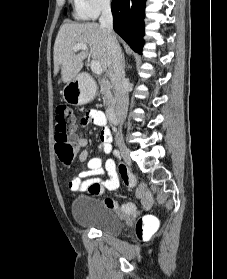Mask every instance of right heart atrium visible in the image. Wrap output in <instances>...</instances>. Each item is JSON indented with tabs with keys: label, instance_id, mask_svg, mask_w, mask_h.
<instances>
[{
	"label": "right heart atrium",
	"instance_id": "1",
	"mask_svg": "<svg viewBox=\"0 0 227 279\" xmlns=\"http://www.w3.org/2000/svg\"><path fill=\"white\" fill-rule=\"evenodd\" d=\"M81 8L89 17L98 16L103 10L107 9L111 0H80Z\"/></svg>",
	"mask_w": 227,
	"mask_h": 279
}]
</instances>
